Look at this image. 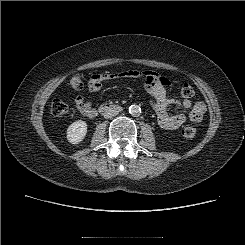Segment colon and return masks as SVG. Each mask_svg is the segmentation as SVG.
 Returning a JSON list of instances; mask_svg holds the SVG:
<instances>
[{"label": "colon", "instance_id": "5ec220e1", "mask_svg": "<svg viewBox=\"0 0 245 245\" xmlns=\"http://www.w3.org/2000/svg\"><path fill=\"white\" fill-rule=\"evenodd\" d=\"M68 86L76 91L82 90L84 87L83 79L80 75H72L68 81ZM181 95L185 98H190L194 95V89L191 85L185 84L181 88ZM68 112V105L61 99H54L51 103V113L60 117ZM182 134L185 138H193L196 134V128L193 126H187L183 129Z\"/></svg>", "mask_w": 245, "mask_h": 245}]
</instances>
